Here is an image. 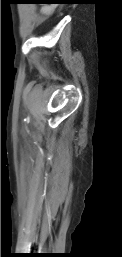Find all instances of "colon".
<instances>
[{
	"instance_id": "obj_1",
	"label": "colon",
	"mask_w": 122,
	"mask_h": 257,
	"mask_svg": "<svg viewBox=\"0 0 122 257\" xmlns=\"http://www.w3.org/2000/svg\"><path fill=\"white\" fill-rule=\"evenodd\" d=\"M61 5L63 6L64 4L62 3ZM57 15H60V9H57Z\"/></svg>"
}]
</instances>
